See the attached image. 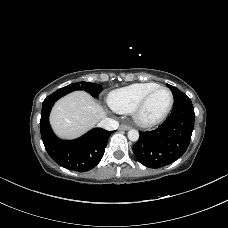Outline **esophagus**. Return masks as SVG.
Here are the masks:
<instances>
[{
  "label": "esophagus",
  "mask_w": 228,
  "mask_h": 228,
  "mask_svg": "<svg viewBox=\"0 0 228 228\" xmlns=\"http://www.w3.org/2000/svg\"><path fill=\"white\" fill-rule=\"evenodd\" d=\"M119 129L120 130H129L130 129V126L125 125V124H122V125H120Z\"/></svg>",
  "instance_id": "obj_1"
}]
</instances>
